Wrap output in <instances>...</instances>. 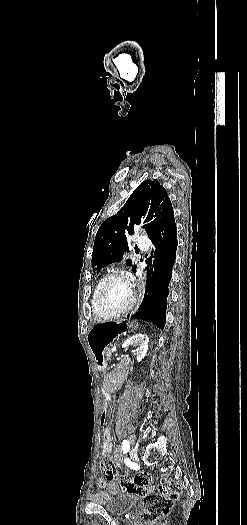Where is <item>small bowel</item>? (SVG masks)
Instances as JSON below:
<instances>
[{
	"label": "small bowel",
	"instance_id": "1",
	"mask_svg": "<svg viewBox=\"0 0 247 525\" xmlns=\"http://www.w3.org/2000/svg\"><path fill=\"white\" fill-rule=\"evenodd\" d=\"M104 399L107 402H110L112 400V395L106 393L105 396H104ZM102 425H105V424H102ZM102 451L106 455H112L116 465H120L121 464V461H122L121 450L119 448H116L115 450L113 449L112 432H111L110 428H108V427H106L104 429L103 434H102ZM98 484L101 487H105L107 485V482H106L105 479L99 478L98 479Z\"/></svg>",
	"mask_w": 247,
	"mask_h": 525
}]
</instances>
